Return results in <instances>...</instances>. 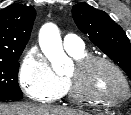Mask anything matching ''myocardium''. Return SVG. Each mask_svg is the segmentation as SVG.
<instances>
[{
	"instance_id": "1",
	"label": "myocardium",
	"mask_w": 131,
	"mask_h": 115,
	"mask_svg": "<svg viewBox=\"0 0 131 115\" xmlns=\"http://www.w3.org/2000/svg\"><path fill=\"white\" fill-rule=\"evenodd\" d=\"M98 63L109 66L119 75L125 89L124 95L122 97L108 99L88 92L85 89V74L91 66ZM66 82L70 97L74 101L78 102L113 106L125 102L130 96V85L121 68L112 60L103 56L88 55L80 60H77L73 68V74L67 76Z\"/></svg>"
}]
</instances>
